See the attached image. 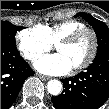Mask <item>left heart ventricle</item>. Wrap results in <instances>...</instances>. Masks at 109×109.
<instances>
[{"mask_svg":"<svg viewBox=\"0 0 109 109\" xmlns=\"http://www.w3.org/2000/svg\"><path fill=\"white\" fill-rule=\"evenodd\" d=\"M92 49V36L84 33L77 41L71 45H59L57 50L63 54L72 67L83 63L89 56Z\"/></svg>","mask_w":109,"mask_h":109,"instance_id":"left-heart-ventricle-1","label":"left heart ventricle"}]
</instances>
